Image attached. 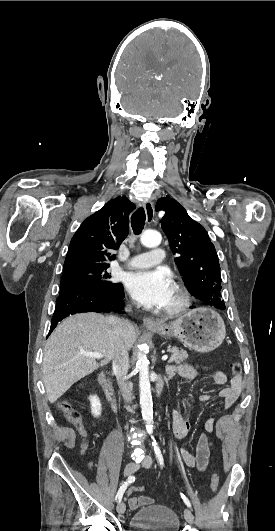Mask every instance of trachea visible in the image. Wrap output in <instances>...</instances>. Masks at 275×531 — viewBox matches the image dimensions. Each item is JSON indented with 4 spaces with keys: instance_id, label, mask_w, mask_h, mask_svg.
I'll return each instance as SVG.
<instances>
[{
    "instance_id": "3493384b",
    "label": "trachea",
    "mask_w": 275,
    "mask_h": 531,
    "mask_svg": "<svg viewBox=\"0 0 275 531\" xmlns=\"http://www.w3.org/2000/svg\"><path fill=\"white\" fill-rule=\"evenodd\" d=\"M131 226L133 232L138 235L145 226V212L143 208H138L131 217Z\"/></svg>"
}]
</instances>
